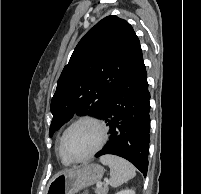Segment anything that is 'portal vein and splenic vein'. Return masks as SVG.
Returning <instances> with one entry per match:
<instances>
[{"label":"portal vein and splenic vein","instance_id":"1","mask_svg":"<svg viewBox=\"0 0 201 194\" xmlns=\"http://www.w3.org/2000/svg\"><path fill=\"white\" fill-rule=\"evenodd\" d=\"M102 185H103L102 182H98V183H97V188H101Z\"/></svg>","mask_w":201,"mask_h":194}]
</instances>
